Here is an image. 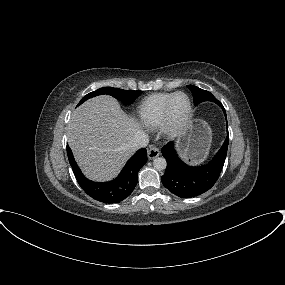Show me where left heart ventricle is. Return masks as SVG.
<instances>
[{
    "mask_svg": "<svg viewBox=\"0 0 285 285\" xmlns=\"http://www.w3.org/2000/svg\"><path fill=\"white\" fill-rule=\"evenodd\" d=\"M188 100L184 95L178 96L173 103V117L176 121L182 120L188 110Z\"/></svg>",
    "mask_w": 285,
    "mask_h": 285,
    "instance_id": "obj_1",
    "label": "left heart ventricle"
}]
</instances>
